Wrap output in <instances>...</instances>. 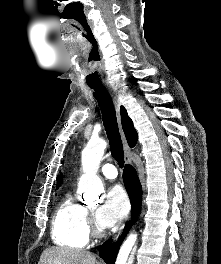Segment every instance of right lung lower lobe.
<instances>
[{
	"mask_svg": "<svg viewBox=\"0 0 221 264\" xmlns=\"http://www.w3.org/2000/svg\"><path fill=\"white\" fill-rule=\"evenodd\" d=\"M123 181L130 197L132 207V222L124 229L121 237L113 244L112 240L106 241L100 248V255L107 264H114L119 247L134 223V220L142 204V189L135 169L131 165H126L123 171Z\"/></svg>",
	"mask_w": 221,
	"mask_h": 264,
	"instance_id": "98d812e1",
	"label": "right lung lower lobe"
}]
</instances>
